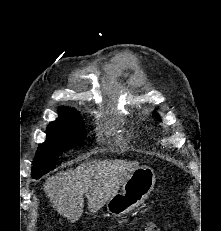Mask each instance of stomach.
Here are the masks:
<instances>
[{
  "label": "stomach",
  "mask_w": 221,
  "mask_h": 231,
  "mask_svg": "<svg viewBox=\"0 0 221 231\" xmlns=\"http://www.w3.org/2000/svg\"><path fill=\"white\" fill-rule=\"evenodd\" d=\"M154 170L148 166L137 168L123 184L122 191L107 201V210L120 217L140 206L154 188Z\"/></svg>",
  "instance_id": "obj_1"
}]
</instances>
